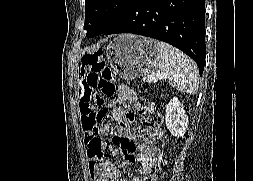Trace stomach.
<instances>
[{
  "label": "stomach",
  "mask_w": 253,
  "mask_h": 181,
  "mask_svg": "<svg viewBox=\"0 0 253 181\" xmlns=\"http://www.w3.org/2000/svg\"><path fill=\"white\" fill-rule=\"evenodd\" d=\"M106 50L113 72L127 80L153 73L160 58L157 40L130 34L119 35Z\"/></svg>",
  "instance_id": "stomach-1"
}]
</instances>
